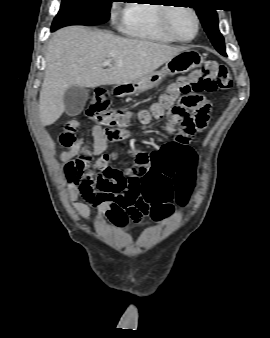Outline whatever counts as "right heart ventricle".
<instances>
[{
  "label": "right heart ventricle",
  "mask_w": 270,
  "mask_h": 338,
  "mask_svg": "<svg viewBox=\"0 0 270 338\" xmlns=\"http://www.w3.org/2000/svg\"><path fill=\"white\" fill-rule=\"evenodd\" d=\"M158 2L150 4L135 3L128 6L125 20L122 23L124 32L132 37L159 43H170L173 40L161 27L162 10Z\"/></svg>",
  "instance_id": "1"
}]
</instances>
